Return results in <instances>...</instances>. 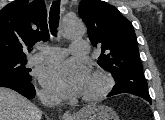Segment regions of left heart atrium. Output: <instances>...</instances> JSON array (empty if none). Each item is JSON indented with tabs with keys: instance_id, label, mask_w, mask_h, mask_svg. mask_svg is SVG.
<instances>
[{
	"instance_id": "39dd6f15",
	"label": "left heart atrium",
	"mask_w": 165,
	"mask_h": 120,
	"mask_svg": "<svg viewBox=\"0 0 165 120\" xmlns=\"http://www.w3.org/2000/svg\"><path fill=\"white\" fill-rule=\"evenodd\" d=\"M87 67L78 60H67L45 68L40 81L49 91L62 97L82 95L89 80Z\"/></svg>"
}]
</instances>
